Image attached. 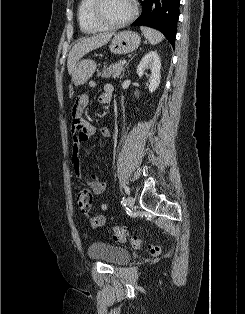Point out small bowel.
<instances>
[{
  "label": "small bowel",
  "mask_w": 245,
  "mask_h": 314,
  "mask_svg": "<svg viewBox=\"0 0 245 314\" xmlns=\"http://www.w3.org/2000/svg\"><path fill=\"white\" fill-rule=\"evenodd\" d=\"M90 88H96L97 84L95 81L89 83ZM113 93V87L110 84L104 86L103 92L99 95L98 101L101 104H107L111 101ZM89 102V95L85 93L76 94L72 109V125L71 132L73 134V146H72V164L74 167L75 177L82 182H87L93 193L96 195H101L107 190V184L101 181L98 176L90 175L85 176L81 169L80 154L82 144L87 142L91 138L95 137H110L112 133L110 129L98 128L91 122H89L85 116L84 111ZM102 210H108V205L105 202L101 203ZM85 218L88 220L92 228H99L105 225L107 218L105 215H94L91 212L84 214Z\"/></svg>",
  "instance_id": "c3829d8e"
}]
</instances>
